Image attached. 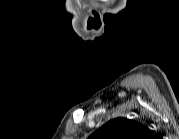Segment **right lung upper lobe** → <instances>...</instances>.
<instances>
[{
  "label": "right lung upper lobe",
  "mask_w": 179,
  "mask_h": 139,
  "mask_svg": "<svg viewBox=\"0 0 179 139\" xmlns=\"http://www.w3.org/2000/svg\"><path fill=\"white\" fill-rule=\"evenodd\" d=\"M152 131L145 125L127 118H115L96 130L89 139H149Z\"/></svg>",
  "instance_id": "obj_1"
}]
</instances>
